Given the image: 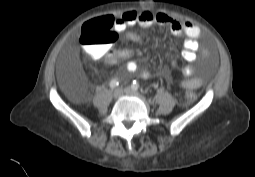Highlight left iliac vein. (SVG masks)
<instances>
[{
	"mask_svg": "<svg viewBox=\"0 0 255 177\" xmlns=\"http://www.w3.org/2000/svg\"><path fill=\"white\" fill-rule=\"evenodd\" d=\"M124 92H125L126 94H128V95H138L137 91L134 90V89H132V88H130V87H126V88L124 89Z\"/></svg>",
	"mask_w": 255,
	"mask_h": 177,
	"instance_id": "4c4485c4",
	"label": "left iliac vein"
}]
</instances>
